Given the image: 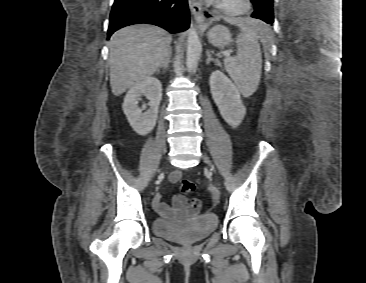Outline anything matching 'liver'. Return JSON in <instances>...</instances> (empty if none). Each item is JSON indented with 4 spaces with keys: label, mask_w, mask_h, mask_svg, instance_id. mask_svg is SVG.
Masks as SVG:
<instances>
[{
    "label": "liver",
    "mask_w": 366,
    "mask_h": 283,
    "mask_svg": "<svg viewBox=\"0 0 366 283\" xmlns=\"http://www.w3.org/2000/svg\"><path fill=\"white\" fill-rule=\"evenodd\" d=\"M171 41L172 36L167 31L151 24H137L116 31L109 42L112 93L121 95L154 74L170 50Z\"/></svg>",
    "instance_id": "6515ba94"
}]
</instances>
